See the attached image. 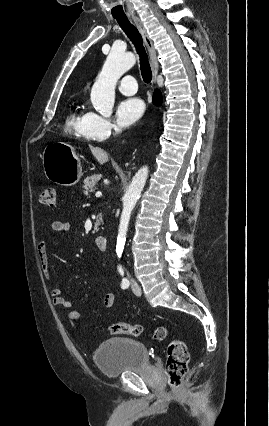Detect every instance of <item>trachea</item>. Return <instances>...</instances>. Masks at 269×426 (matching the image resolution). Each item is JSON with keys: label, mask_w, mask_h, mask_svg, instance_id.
<instances>
[{"label": "trachea", "mask_w": 269, "mask_h": 426, "mask_svg": "<svg viewBox=\"0 0 269 426\" xmlns=\"http://www.w3.org/2000/svg\"><path fill=\"white\" fill-rule=\"evenodd\" d=\"M115 19L136 48V51L140 58V69L144 82L150 83L152 79V71L148 62V56L143 46V40L140 33L138 32L136 27L129 22L128 18L125 17Z\"/></svg>", "instance_id": "trachea-1"}]
</instances>
